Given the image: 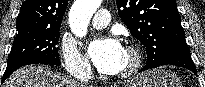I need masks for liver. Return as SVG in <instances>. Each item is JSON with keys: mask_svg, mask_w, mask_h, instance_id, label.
I'll return each mask as SVG.
<instances>
[{"mask_svg": "<svg viewBox=\"0 0 205 87\" xmlns=\"http://www.w3.org/2000/svg\"><path fill=\"white\" fill-rule=\"evenodd\" d=\"M3 87H83L67 76L53 72L48 66L32 65L16 70Z\"/></svg>", "mask_w": 205, "mask_h": 87, "instance_id": "6515ba94", "label": "liver"}]
</instances>
